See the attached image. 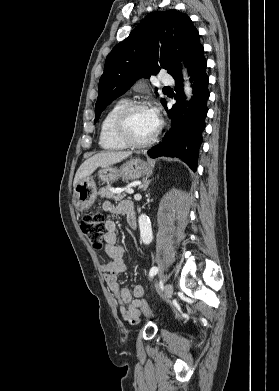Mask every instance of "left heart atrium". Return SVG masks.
Instances as JSON below:
<instances>
[{
	"instance_id": "obj_1",
	"label": "left heart atrium",
	"mask_w": 279,
	"mask_h": 391,
	"mask_svg": "<svg viewBox=\"0 0 279 391\" xmlns=\"http://www.w3.org/2000/svg\"><path fill=\"white\" fill-rule=\"evenodd\" d=\"M151 111H152V114H153V116L156 118V120L158 121L159 119H158V112L155 110V109H151Z\"/></svg>"
}]
</instances>
